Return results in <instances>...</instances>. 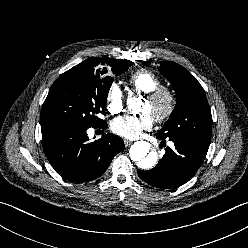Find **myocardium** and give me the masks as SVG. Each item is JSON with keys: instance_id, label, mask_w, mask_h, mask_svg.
Masks as SVG:
<instances>
[{"instance_id": "f54148a6", "label": "myocardium", "mask_w": 248, "mask_h": 248, "mask_svg": "<svg viewBox=\"0 0 248 248\" xmlns=\"http://www.w3.org/2000/svg\"><path fill=\"white\" fill-rule=\"evenodd\" d=\"M146 100L153 104L163 105V110L153 117L157 123L167 121L174 113L177 104V99L173 91L164 86H160L147 93Z\"/></svg>"}]
</instances>
